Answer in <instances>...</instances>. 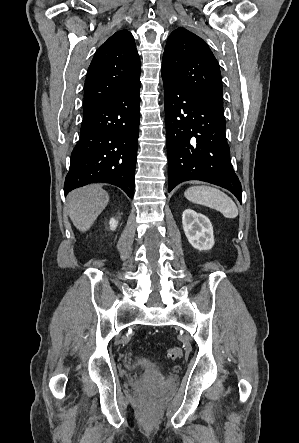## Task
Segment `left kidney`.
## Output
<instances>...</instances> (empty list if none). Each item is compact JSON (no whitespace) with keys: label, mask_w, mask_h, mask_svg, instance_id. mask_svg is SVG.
<instances>
[{"label":"left kidney","mask_w":299,"mask_h":443,"mask_svg":"<svg viewBox=\"0 0 299 443\" xmlns=\"http://www.w3.org/2000/svg\"><path fill=\"white\" fill-rule=\"evenodd\" d=\"M182 226L189 243L195 249L206 251L214 246L213 227L205 215L186 209L182 214Z\"/></svg>","instance_id":"1"}]
</instances>
